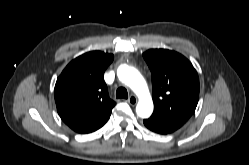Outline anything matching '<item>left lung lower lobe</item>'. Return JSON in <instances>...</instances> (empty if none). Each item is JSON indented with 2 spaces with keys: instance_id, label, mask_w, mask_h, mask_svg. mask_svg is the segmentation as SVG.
<instances>
[{
  "instance_id": "0a47b994",
  "label": "left lung lower lobe",
  "mask_w": 249,
  "mask_h": 165,
  "mask_svg": "<svg viewBox=\"0 0 249 165\" xmlns=\"http://www.w3.org/2000/svg\"><path fill=\"white\" fill-rule=\"evenodd\" d=\"M144 125L153 132L159 134H169L179 129L183 124L177 121L151 116L145 119Z\"/></svg>"
}]
</instances>
